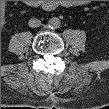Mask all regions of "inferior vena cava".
I'll return each mask as SVG.
<instances>
[{
  "label": "inferior vena cava",
  "mask_w": 109,
  "mask_h": 109,
  "mask_svg": "<svg viewBox=\"0 0 109 109\" xmlns=\"http://www.w3.org/2000/svg\"><path fill=\"white\" fill-rule=\"evenodd\" d=\"M28 25L30 27L36 28V27H39L41 25V21L37 18H31L28 22Z\"/></svg>",
  "instance_id": "1"
}]
</instances>
